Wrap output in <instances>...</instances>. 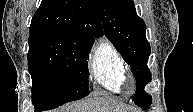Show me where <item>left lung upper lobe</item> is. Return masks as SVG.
<instances>
[{
    "label": "left lung upper lobe",
    "instance_id": "1",
    "mask_svg": "<svg viewBox=\"0 0 193 112\" xmlns=\"http://www.w3.org/2000/svg\"><path fill=\"white\" fill-rule=\"evenodd\" d=\"M106 37L130 65L136 79L135 104L150 108L151 97L144 87L151 80L147 67L151 48L146 39V26L138 17L133 0H97Z\"/></svg>",
    "mask_w": 193,
    "mask_h": 112
}]
</instances>
